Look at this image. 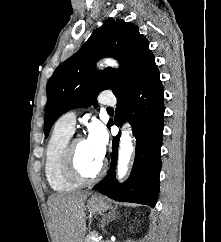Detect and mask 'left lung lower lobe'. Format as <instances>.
Segmentation results:
<instances>
[{
	"label": "left lung lower lobe",
	"mask_w": 221,
	"mask_h": 242,
	"mask_svg": "<svg viewBox=\"0 0 221 242\" xmlns=\"http://www.w3.org/2000/svg\"><path fill=\"white\" fill-rule=\"evenodd\" d=\"M115 96V124L122 125L124 121H129L132 125L137 140L135 161L129 179L119 185L114 173L120 139V134L117 135L112 141L113 158L109 172L93 189L117 201L154 207L159 193L164 122L163 88L157 66H152Z\"/></svg>",
	"instance_id": "0a47b994"
}]
</instances>
